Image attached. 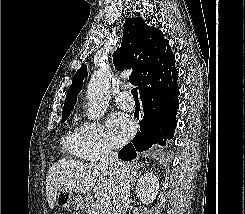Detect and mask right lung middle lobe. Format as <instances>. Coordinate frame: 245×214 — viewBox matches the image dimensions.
<instances>
[{
	"label": "right lung middle lobe",
	"instance_id": "1",
	"mask_svg": "<svg viewBox=\"0 0 245 214\" xmlns=\"http://www.w3.org/2000/svg\"><path fill=\"white\" fill-rule=\"evenodd\" d=\"M69 114H63L62 115V123L65 122V120L68 118Z\"/></svg>",
	"mask_w": 245,
	"mask_h": 214
}]
</instances>
